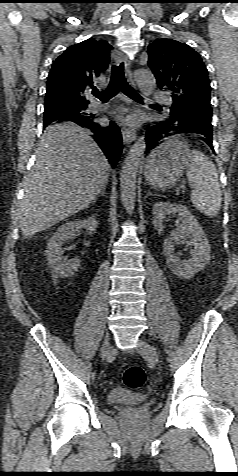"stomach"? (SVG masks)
I'll use <instances>...</instances> for the list:
<instances>
[{"instance_id": "0dacf381", "label": "stomach", "mask_w": 238, "mask_h": 476, "mask_svg": "<svg viewBox=\"0 0 238 476\" xmlns=\"http://www.w3.org/2000/svg\"><path fill=\"white\" fill-rule=\"evenodd\" d=\"M190 151L186 144L171 138L153 150L147 158L144 175L154 188L172 187L190 163Z\"/></svg>"}]
</instances>
